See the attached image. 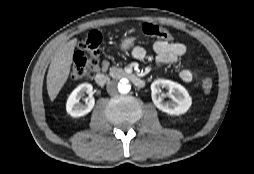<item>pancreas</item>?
I'll use <instances>...</instances> for the list:
<instances>
[{"label": "pancreas", "mask_w": 254, "mask_h": 174, "mask_svg": "<svg viewBox=\"0 0 254 174\" xmlns=\"http://www.w3.org/2000/svg\"><path fill=\"white\" fill-rule=\"evenodd\" d=\"M123 74H124V71L121 68H112L110 70V75L113 78H116V77L121 76Z\"/></svg>", "instance_id": "obj_1"}]
</instances>
